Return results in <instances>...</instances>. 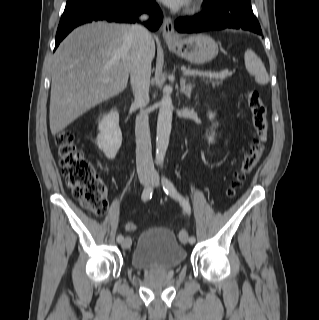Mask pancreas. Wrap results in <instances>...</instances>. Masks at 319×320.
<instances>
[{"label":"pancreas","instance_id":"pancreas-1","mask_svg":"<svg viewBox=\"0 0 319 320\" xmlns=\"http://www.w3.org/2000/svg\"><path fill=\"white\" fill-rule=\"evenodd\" d=\"M204 82L207 84L211 83L212 85H218L221 82V79L206 77L204 78Z\"/></svg>","mask_w":319,"mask_h":320}]
</instances>
